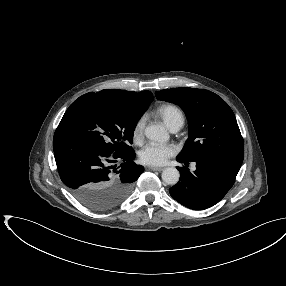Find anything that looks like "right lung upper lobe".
Instances as JSON below:
<instances>
[{"instance_id":"cb5924a9","label":"right lung upper lobe","mask_w":286,"mask_h":286,"mask_svg":"<svg viewBox=\"0 0 286 286\" xmlns=\"http://www.w3.org/2000/svg\"><path fill=\"white\" fill-rule=\"evenodd\" d=\"M99 93L107 94L125 102L141 106H149V104L153 101V95L150 91H142L140 93H136L133 91L108 89L102 90Z\"/></svg>"}]
</instances>
